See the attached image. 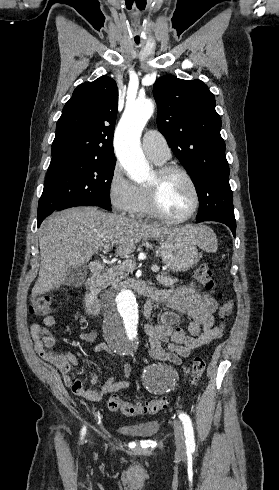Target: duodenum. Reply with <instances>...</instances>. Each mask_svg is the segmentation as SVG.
<instances>
[{"instance_id": "1", "label": "duodenum", "mask_w": 279, "mask_h": 490, "mask_svg": "<svg viewBox=\"0 0 279 490\" xmlns=\"http://www.w3.org/2000/svg\"><path fill=\"white\" fill-rule=\"evenodd\" d=\"M104 269V264L101 261H92L90 264V270L92 272L93 277L98 276ZM122 287L132 289L136 291L139 294H147L148 293V287L143 281L136 280V279H128L125 280L121 283ZM84 302H85V307L86 310L93 314L96 315L100 311V301L97 297V294L95 290L90 287L87 292L85 293L84 296Z\"/></svg>"}]
</instances>
